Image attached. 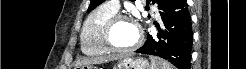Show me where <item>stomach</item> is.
<instances>
[{"instance_id":"stomach-1","label":"stomach","mask_w":246,"mask_h":69,"mask_svg":"<svg viewBox=\"0 0 246 69\" xmlns=\"http://www.w3.org/2000/svg\"><path fill=\"white\" fill-rule=\"evenodd\" d=\"M75 69H98L96 66L89 64V65H82ZM113 69H151L149 67V63L146 59L142 57H126L120 60Z\"/></svg>"}]
</instances>
